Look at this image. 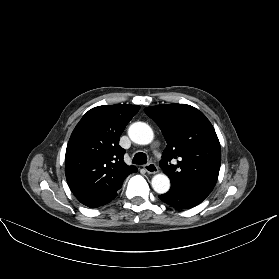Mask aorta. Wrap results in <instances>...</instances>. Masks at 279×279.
Returning a JSON list of instances; mask_svg holds the SVG:
<instances>
[{
	"label": "aorta",
	"instance_id": "aorta-1",
	"mask_svg": "<svg viewBox=\"0 0 279 279\" xmlns=\"http://www.w3.org/2000/svg\"><path fill=\"white\" fill-rule=\"evenodd\" d=\"M128 135L134 143L140 145H147L154 138L151 127L143 122H135L130 125ZM151 185L155 192L164 194L170 188V180L165 174H156L152 178Z\"/></svg>",
	"mask_w": 279,
	"mask_h": 279
}]
</instances>
